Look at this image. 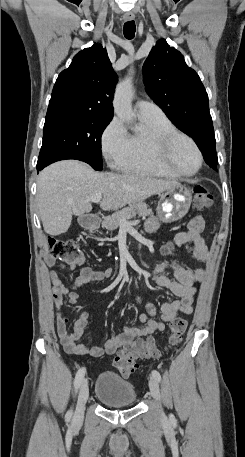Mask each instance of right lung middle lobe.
<instances>
[{
    "instance_id": "dd1d6c3e",
    "label": "right lung middle lobe",
    "mask_w": 245,
    "mask_h": 457,
    "mask_svg": "<svg viewBox=\"0 0 245 457\" xmlns=\"http://www.w3.org/2000/svg\"><path fill=\"white\" fill-rule=\"evenodd\" d=\"M111 120L90 112L47 113L37 170L64 159L81 160L102 170L101 135Z\"/></svg>"
}]
</instances>
